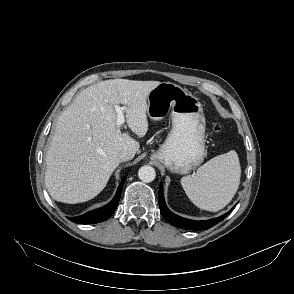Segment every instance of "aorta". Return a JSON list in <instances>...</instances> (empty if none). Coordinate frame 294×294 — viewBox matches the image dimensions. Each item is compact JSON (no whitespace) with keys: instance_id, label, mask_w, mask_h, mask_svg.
<instances>
[{"instance_id":"1","label":"aorta","mask_w":294,"mask_h":294,"mask_svg":"<svg viewBox=\"0 0 294 294\" xmlns=\"http://www.w3.org/2000/svg\"><path fill=\"white\" fill-rule=\"evenodd\" d=\"M138 177L142 182L150 183L156 177L155 169L149 165H144L139 169Z\"/></svg>"}]
</instances>
